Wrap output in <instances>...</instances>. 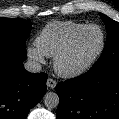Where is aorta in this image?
I'll list each match as a JSON object with an SVG mask.
<instances>
[{"label": "aorta", "instance_id": "aorta-1", "mask_svg": "<svg viewBox=\"0 0 119 119\" xmlns=\"http://www.w3.org/2000/svg\"><path fill=\"white\" fill-rule=\"evenodd\" d=\"M43 102L47 108H55L59 105V96L55 92H47L43 97Z\"/></svg>", "mask_w": 119, "mask_h": 119}]
</instances>
